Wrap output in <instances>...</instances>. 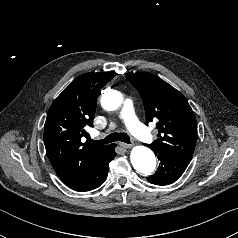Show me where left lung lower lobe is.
Listing matches in <instances>:
<instances>
[{
	"mask_svg": "<svg viewBox=\"0 0 238 238\" xmlns=\"http://www.w3.org/2000/svg\"><path fill=\"white\" fill-rule=\"evenodd\" d=\"M160 166L147 180L155 185H169L175 182L185 171L190 159L165 152H155Z\"/></svg>",
	"mask_w": 238,
	"mask_h": 238,
	"instance_id": "left-lung-lower-lobe-1",
	"label": "left lung lower lobe"
}]
</instances>
